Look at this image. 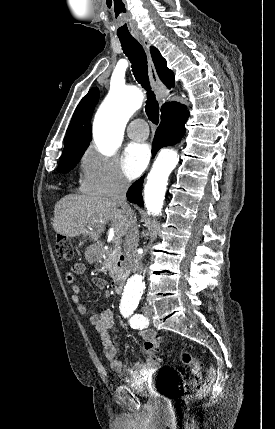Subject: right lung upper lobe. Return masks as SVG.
Masks as SVG:
<instances>
[{
  "label": "right lung upper lobe",
  "mask_w": 275,
  "mask_h": 429,
  "mask_svg": "<svg viewBox=\"0 0 275 429\" xmlns=\"http://www.w3.org/2000/svg\"><path fill=\"white\" fill-rule=\"evenodd\" d=\"M157 73L167 87L174 85L173 72L167 68L166 60L155 48H150ZM99 98L98 88H92L77 106L65 137V147L62 157L84 152L92 139L91 116ZM176 102H167L161 107V117L164 116Z\"/></svg>",
  "instance_id": "obj_1"
}]
</instances>
